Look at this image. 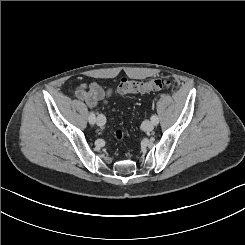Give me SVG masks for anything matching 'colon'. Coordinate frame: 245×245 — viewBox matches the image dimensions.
<instances>
[{"label":"colon","mask_w":245,"mask_h":245,"mask_svg":"<svg viewBox=\"0 0 245 245\" xmlns=\"http://www.w3.org/2000/svg\"><path fill=\"white\" fill-rule=\"evenodd\" d=\"M169 84L170 81L165 77L153 78L147 81L123 78L119 82L116 91L120 95L147 93L166 88ZM114 137L120 141L123 134L120 130H117L114 132Z\"/></svg>","instance_id":"colon-1"}]
</instances>
